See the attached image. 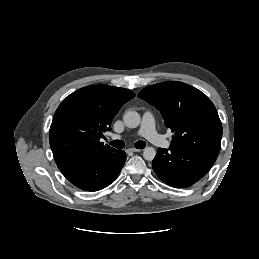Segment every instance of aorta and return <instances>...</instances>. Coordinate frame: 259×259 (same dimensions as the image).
Segmentation results:
<instances>
[{"mask_svg": "<svg viewBox=\"0 0 259 259\" xmlns=\"http://www.w3.org/2000/svg\"><path fill=\"white\" fill-rule=\"evenodd\" d=\"M124 124L129 128H136L141 122L140 114L136 111H127L123 116ZM156 155V151L153 147H146L143 151V157L147 161H152Z\"/></svg>", "mask_w": 259, "mask_h": 259, "instance_id": "obj_1", "label": "aorta"}]
</instances>
